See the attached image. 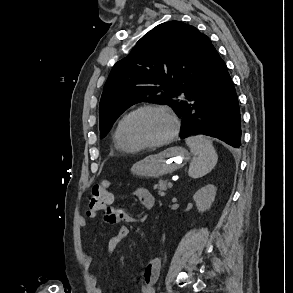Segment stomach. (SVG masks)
Here are the masks:
<instances>
[{"label": "stomach", "mask_w": 293, "mask_h": 293, "mask_svg": "<svg viewBox=\"0 0 293 293\" xmlns=\"http://www.w3.org/2000/svg\"><path fill=\"white\" fill-rule=\"evenodd\" d=\"M189 159L190 154L185 148L174 146L136 162L131 171L140 177L160 178L183 167Z\"/></svg>", "instance_id": "stomach-1"}]
</instances>
